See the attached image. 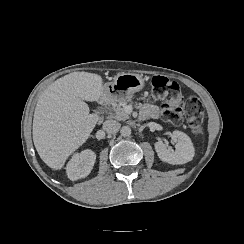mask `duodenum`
Wrapping results in <instances>:
<instances>
[{"label": "duodenum", "mask_w": 244, "mask_h": 244, "mask_svg": "<svg viewBox=\"0 0 244 244\" xmlns=\"http://www.w3.org/2000/svg\"><path fill=\"white\" fill-rule=\"evenodd\" d=\"M110 97H111V95L107 96L106 98H102V99H101V102H103V101H107V102H108L109 99H110Z\"/></svg>", "instance_id": "1"}]
</instances>
